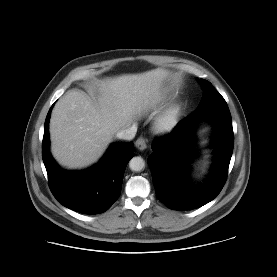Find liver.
I'll use <instances>...</instances> for the list:
<instances>
[{
    "label": "liver",
    "mask_w": 277,
    "mask_h": 277,
    "mask_svg": "<svg viewBox=\"0 0 277 277\" xmlns=\"http://www.w3.org/2000/svg\"><path fill=\"white\" fill-rule=\"evenodd\" d=\"M169 72L155 69L101 81L96 99L68 91L50 119L51 151L70 169L84 168L103 155L114 135L160 102Z\"/></svg>",
    "instance_id": "liver-1"
}]
</instances>
